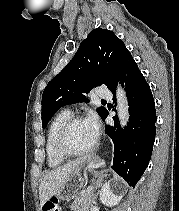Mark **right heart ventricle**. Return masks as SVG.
I'll return each mask as SVG.
<instances>
[{
    "label": "right heart ventricle",
    "mask_w": 179,
    "mask_h": 211,
    "mask_svg": "<svg viewBox=\"0 0 179 211\" xmlns=\"http://www.w3.org/2000/svg\"><path fill=\"white\" fill-rule=\"evenodd\" d=\"M71 117L70 112L61 111L54 116L51 120L47 133H46V142H45V154L47 165L50 168H56L62 165L65 162V158L62 157L56 149V140L62 125Z\"/></svg>",
    "instance_id": "right-heart-ventricle-1"
}]
</instances>
